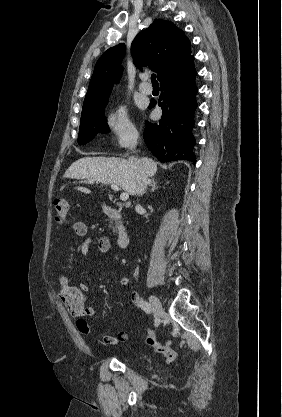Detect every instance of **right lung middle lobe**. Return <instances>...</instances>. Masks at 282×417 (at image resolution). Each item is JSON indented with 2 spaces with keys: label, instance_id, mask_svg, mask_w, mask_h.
I'll return each mask as SVG.
<instances>
[{
  "label": "right lung middle lobe",
  "instance_id": "dd1d6c3e",
  "mask_svg": "<svg viewBox=\"0 0 282 417\" xmlns=\"http://www.w3.org/2000/svg\"><path fill=\"white\" fill-rule=\"evenodd\" d=\"M110 93L86 97L81 114L78 144L83 145L94 138L97 133L109 132L104 116V107Z\"/></svg>",
  "mask_w": 282,
  "mask_h": 417
}]
</instances>
